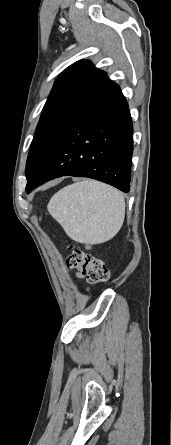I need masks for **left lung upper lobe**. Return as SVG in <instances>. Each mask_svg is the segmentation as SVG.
<instances>
[{
    "label": "left lung upper lobe",
    "mask_w": 171,
    "mask_h": 445,
    "mask_svg": "<svg viewBox=\"0 0 171 445\" xmlns=\"http://www.w3.org/2000/svg\"><path fill=\"white\" fill-rule=\"evenodd\" d=\"M118 89L119 86L90 61H78L58 76L42 110L28 154L27 181L35 176L68 130Z\"/></svg>",
    "instance_id": "5c2ea615"
}]
</instances>
